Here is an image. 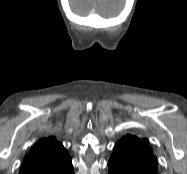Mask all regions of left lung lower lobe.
<instances>
[{
  "label": "left lung lower lobe",
  "instance_id": "left-lung-lower-lobe-1",
  "mask_svg": "<svg viewBox=\"0 0 187 174\" xmlns=\"http://www.w3.org/2000/svg\"><path fill=\"white\" fill-rule=\"evenodd\" d=\"M110 169L108 174H151L150 172H147L145 170H141V169H136V173L133 172L132 168H128L126 166H122V165H110Z\"/></svg>",
  "mask_w": 187,
  "mask_h": 174
}]
</instances>
